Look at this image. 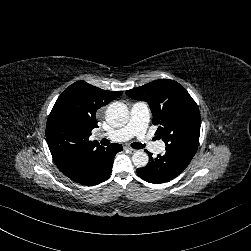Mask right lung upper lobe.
Returning a JSON list of instances; mask_svg holds the SVG:
<instances>
[{
  "label": "right lung upper lobe",
  "mask_w": 251,
  "mask_h": 251,
  "mask_svg": "<svg viewBox=\"0 0 251 251\" xmlns=\"http://www.w3.org/2000/svg\"><path fill=\"white\" fill-rule=\"evenodd\" d=\"M122 91H106L85 81L70 85L54 104L46 125V139L57 167L64 173L105 148L89 140L97 126L96 111Z\"/></svg>",
  "instance_id": "obj_1"
}]
</instances>
